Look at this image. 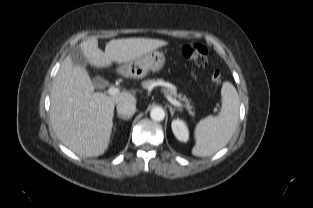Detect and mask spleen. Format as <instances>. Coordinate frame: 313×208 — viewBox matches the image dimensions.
Listing matches in <instances>:
<instances>
[{
    "label": "spleen",
    "mask_w": 313,
    "mask_h": 208,
    "mask_svg": "<svg viewBox=\"0 0 313 208\" xmlns=\"http://www.w3.org/2000/svg\"><path fill=\"white\" fill-rule=\"evenodd\" d=\"M222 107L218 116H208L195 128L196 144L192 154L211 156L222 149L232 138L238 126L240 100L236 88L225 81L221 88Z\"/></svg>",
    "instance_id": "1"
}]
</instances>
